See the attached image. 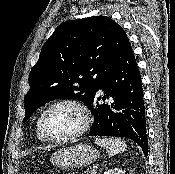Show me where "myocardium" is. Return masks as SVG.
Here are the masks:
<instances>
[{"label":"myocardium","mask_w":175,"mask_h":174,"mask_svg":"<svg viewBox=\"0 0 175 174\" xmlns=\"http://www.w3.org/2000/svg\"><path fill=\"white\" fill-rule=\"evenodd\" d=\"M57 106H70L74 108L80 114V117H81V125L78 128V130L72 133L71 135L63 137V138H54V137L49 136L44 127V120H45L46 115L53 108ZM90 123H91V117H90L87 107L81 101L76 100V99H61V100L53 102L43 111L38 121L39 131L42 137L48 142L59 143V144L73 141L77 139L78 137L82 136L89 129Z\"/></svg>","instance_id":"obj_1"}]
</instances>
